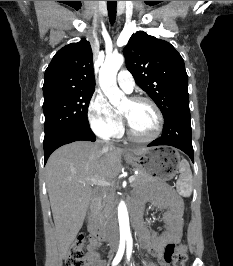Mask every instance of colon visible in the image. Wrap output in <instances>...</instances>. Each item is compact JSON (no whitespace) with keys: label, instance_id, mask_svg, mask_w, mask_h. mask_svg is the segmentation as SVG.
<instances>
[{"label":"colon","instance_id":"5ec220e1","mask_svg":"<svg viewBox=\"0 0 233 266\" xmlns=\"http://www.w3.org/2000/svg\"><path fill=\"white\" fill-rule=\"evenodd\" d=\"M90 239L81 235L75 240L66 258V266H85ZM164 260L172 266H185L187 262L186 246L182 243L168 244L165 248Z\"/></svg>","mask_w":233,"mask_h":266}]
</instances>
